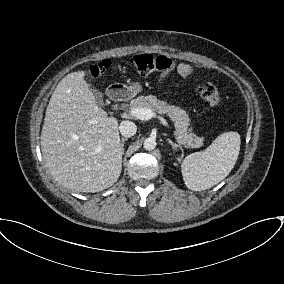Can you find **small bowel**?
Returning a JSON list of instances; mask_svg holds the SVG:
<instances>
[{
    "mask_svg": "<svg viewBox=\"0 0 284 284\" xmlns=\"http://www.w3.org/2000/svg\"><path fill=\"white\" fill-rule=\"evenodd\" d=\"M172 70H176L183 77L190 76L191 74L194 73V69L192 66L185 63H179V64H174L169 71L161 73L159 80L164 81L169 76Z\"/></svg>",
    "mask_w": 284,
    "mask_h": 284,
    "instance_id": "small-bowel-1",
    "label": "small bowel"
}]
</instances>
